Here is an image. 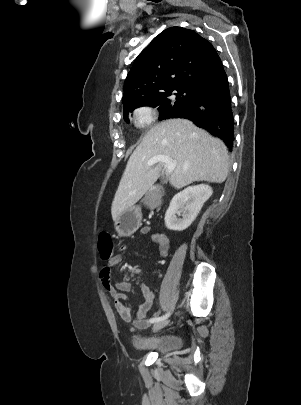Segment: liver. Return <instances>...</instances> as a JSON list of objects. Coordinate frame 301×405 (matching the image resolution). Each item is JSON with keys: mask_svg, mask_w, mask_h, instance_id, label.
Returning a JSON list of instances; mask_svg holds the SVG:
<instances>
[{"mask_svg": "<svg viewBox=\"0 0 301 405\" xmlns=\"http://www.w3.org/2000/svg\"><path fill=\"white\" fill-rule=\"evenodd\" d=\"M157 155L176 161L169 182L181 189L195 181L222 183L229 171V156L225 144L205 130L185 119H170L153 126L131 154L120 180L111 214L115 222L138 200L160 176L161 166H147Z\"/></svg>", "mask_w": 301, "mask_h": 405, "instance_id": "1", "label": "liver"}]
</instances>
